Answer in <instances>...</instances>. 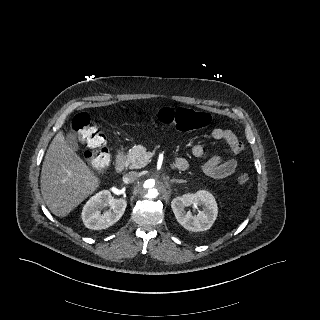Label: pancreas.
I'll list each match as a JSON object with an SVG mask.
<instances>
[{"label": "pancreas", "instance_id": "cf45deb5", "mask_svg": "<svg viewBox=\"0 0 320 320\" xmlns=\"http://www.w3.org/2000/svg\"><path fill=\"white\" fill-rule=\"evenodd\" d=\"M148 163L146 148L142 145L132 147L125 158V165L130 169H139L145 167Z\"/></svg>", "mask_w": 320, "mask_h": 320}]
</instances>
